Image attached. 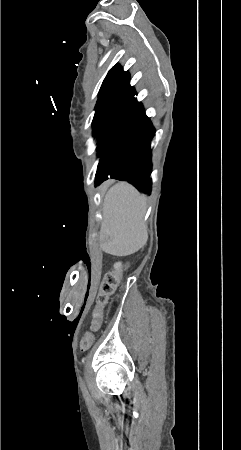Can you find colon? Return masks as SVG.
I'll use <instances>...</instances> for the list:
<instances>
[{"mask_svg":"<svg viewBox=\"0 0 241 450\" xmlns=\"http://www.w3.org/2000/svg\"><path fill=\"white\" fill-rule=\"evenodd\" d=\"M119 284V275L116 271H108L103 279H102V286L100 289V293L97 299V303L93 307V313H92V324L93 326H102L103 324V315L106 311V308L102 302L107 304L110 296L114 293V291L117 289ZM93 343V336L90 333H87L84 335L81 345H82V352L84 353L87 349H89L92 346Z\"/></svg>","mask_w":241,"mask_h":450,"instance_id":"colon-1","label":"colon"}]
</instances>
